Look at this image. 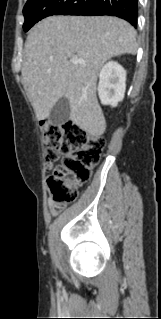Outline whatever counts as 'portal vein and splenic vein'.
<instances>
[{
    "label": "portal vein and splenic vein",
    "mask_w": 161,
    "mask_h": 319,
    "mask_svg": "<svg viewBox=\"0 0 161 319\" xmlns=\"http://www.w3.org/2000/svg\"><path fill=\"white\" fill-rule=\"evenodd\" d=\"M83 61L81 59H79L78 57H73L71 59V63L74 64V65H77V64H80L82 63Z\"/></svg>",
    "instance_id": "portal-vein-and-splenic-vein-1"
}]
</instances>
